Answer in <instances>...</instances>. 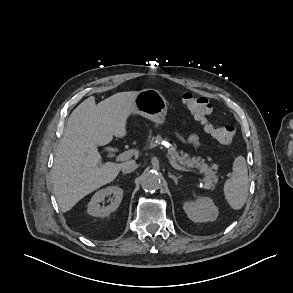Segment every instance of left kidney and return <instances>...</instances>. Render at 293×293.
Masks as SVG:
<instances>
[{
  "instance_id": "5707ae66",
  "label": "left kidney",
  "mask_w": 293,
  "mask_h": 293,
  "mask_svg": "<svg viewBox=\"0 0 293 293\" xmlns=\"http://www.w3.org/2000/svg\"><path fill=\"white\" fill-rule=\"evenodd\" d=\"M183 209L193 222L214 221L218 217V208L209 197H198L194 201L185 202Z\"/></svg>"
}]
</instances>
